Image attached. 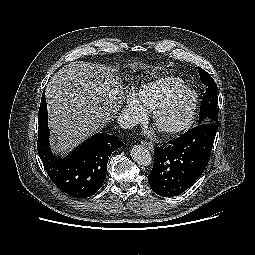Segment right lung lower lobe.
Segmentation results:
<instances>
[{
	"mask_svg": "<svg viewBox=\"0 0 255 255\" xmlns=\"http://www.w3.org/2000/svg\"><path fill=\"white\" fill-rule=\"evenodd\" d=\"M38 123V153L55 185L78 198H87L99 190L106 177L109 156L123 143L114 135L96 133L68 157L56 158L49 145L45 93L42 94Z\"/></svg>",
	"mask_w": 255,
	"mask_h": 255,
	"instance_id": "right-lung-lower-lobe-1",
	"label": "right lung lower lobe"
}]
</instances>
